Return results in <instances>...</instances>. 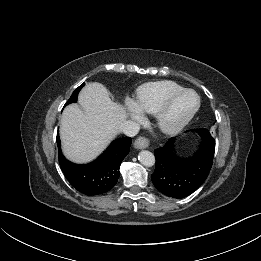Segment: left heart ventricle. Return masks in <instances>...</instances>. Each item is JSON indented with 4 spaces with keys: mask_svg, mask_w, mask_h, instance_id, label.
<instances>
[{
    "mask_svg": "<svg viewBox=\"0 0 261 261\" xmlns=\"http://www.w3.org/2000/svg\"><path fill=\"white\" fill-rule=\"evenodd\" d=\"M197 98L193 93H186L179 97L173 104L169 118L178 120L187 115L196 105Z\"/></svg>",
    "mask_w": 261,
    "mask_h": 261,
    "instance_id": "left-heart-ventricle-1",
    "label": "left heart ventricle"
}]
</instances>
